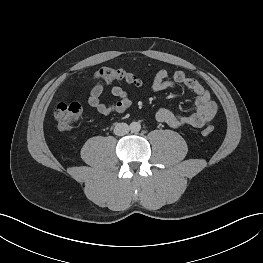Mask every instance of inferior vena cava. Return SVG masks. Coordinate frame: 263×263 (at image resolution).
<instances>
[{
    "label": "inferior vena cava",
    "instance_id": "inferior-vena-cava-1",
    "mask_svg": "<svg viewBox=\"0 0 263 263\" xmlns=\"http://www.w3.org/2000/svg\"><path fill=\"white\" fill-rule=\"evenodd\" d=\"M130 127L126 123H117L114 127V133L117 136H124L128 134Z\"/></svg>",
    "mask_w": 263,
    "mask_h": 263
}]
</instances>
